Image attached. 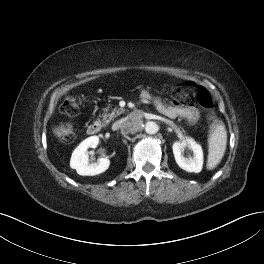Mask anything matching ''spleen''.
<instances>
[{"label": "spleen", "instance_id": "3e777b00", "mask_svg": "<svg viewBox=\"0 0 264 264\" xmlns=\"http://www.w3.org/2000/svg\"><path fill=\"white\" fill-rule=\"evenodd\" d=\"M227 144V132L224 124L219 122L210 133L208 139L207 169L213 170L221 162Z\"/></svg>", "mask_w": 264, "mask_h": 264}]
</instances>
